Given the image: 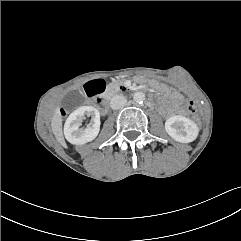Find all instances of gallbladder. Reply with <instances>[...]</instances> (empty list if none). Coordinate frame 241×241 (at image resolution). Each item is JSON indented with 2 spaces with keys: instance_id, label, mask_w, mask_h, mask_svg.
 I'll use <instances>...</instances> for the list:
<instances>
[{
  "instance_id": "obj_1",
  "label": "gallbladder",
  "mask_w": 241,
  "mask_h": 241,
  "mask_svg": "<svg viewBox=\"0 0 241 241\" xmlns=\"http://www.w3.org/2000/svg\"><path fill=\"white\" fill-rule=\"evenodd\" d=\"M75 96L74 95H71V98H74Z\"/></svg>"
}]
</instances>
